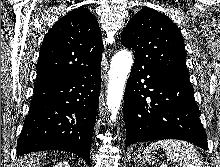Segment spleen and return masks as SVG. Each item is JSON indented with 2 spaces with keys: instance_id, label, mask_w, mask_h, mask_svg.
<instances>
[{
  "instance_id": "spleen-1",
  "label": "spleen",
  "mask_w": 220,
  "mask_h": 167,
  "mask_svg": "<svg viewBox=\"0 0 220 167\" xmlns=\"http://www.w3.org/2000/svg\"><path fill=\"white\" fill-rule=\"evenodd\" d=\"M158 148L166 151L167 158L176 162L175 167H202L203 161L196 149L189 143L176 139H165L151 143L145 151ZM161 167V166H160Z\"/></svg>"
}]
</instances>
